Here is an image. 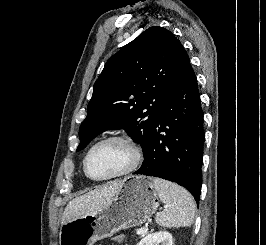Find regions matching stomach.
I'll list each match as a JSON object with an SVG mask.
<instances>
[{
  "mask_svg": "<svg viewBox=\"0 0 266 245\" xmlns=\"http://www.w3.org/2000/svg\"><path fill=\"white\" fill-rule=\"evenodd\" d=\"M159 207L157 191L150 177H125L123 187L113 201L94 215L76 217L64 223L60 245H94L122 229L138 227L150 219Z\"/></svg>",
  "mask_w": 266,
  "mask_h": 245,
  "instance_id": "1",
  "label": "stomach"
}]
</instances>
